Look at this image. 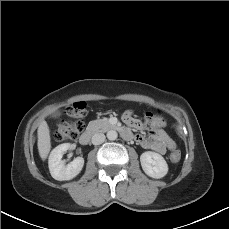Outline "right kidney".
<instances>
[{
  "mask_svg": "<svg viewBox=\"0 0 229 229\" xmlns=\"http://www.w3.org/2000/svg\"><path fill=\"white\" fill-rule=\"evenodd\" d=\"M71 148L72 145L70 143H64L58 145L51 151L48 164L51 176L55 180H71L81 172L84 165V159L82 157L75 158L67 165H65L62 160L63 154Z\"/></svg>",
  "mask_w": 229,
  "mask_h": 229,
  "instance_id": "right-kidney-1",
  "label": "right kidney"
}]
</instances>
